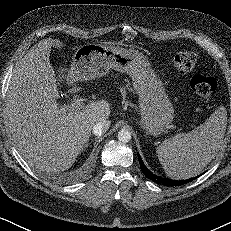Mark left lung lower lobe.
<instances>
[{"instance_id":"left-lung-lower-lobe-1","label":"left lung lower lobe","mask_w":231,"mask_h":231,"mask_svg":"<svg viewBox=\"0 0 231 231\" xmlns=\"http://www.w3.org/2000/svg\"><path fill=\"white\" fill-rule=\"evenodd\" d=\"M138 155V160H139V163H140V167H141V170L143 171V173L145 174V176L158 183V184H162V185H165V186H179V185H183L185 183H187L188 181H192L194 178H191L189 180H182V181H177V180H172V179H169V178H164V177H160V176H157L155 174H153L151 171H149L147 169V167L144 165L141 157L139 154Z\"/></svg>"}]
</instances>
